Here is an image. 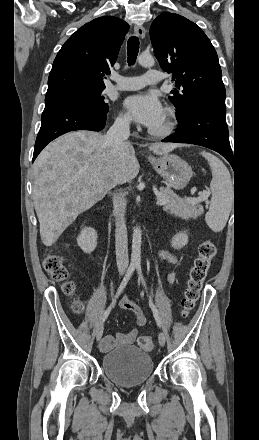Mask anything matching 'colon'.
<instances>
[{"label": "colon", "instance_id": "obj_1", "mask_svg": "<svg viewBox=\"0 0 259 440\" xmlns=\"http://www.w3.org/2000/svg\"><path fill=\"white\" fill-rule=\"evenodd\" d=\"M215 254L216 246L211 239H207L200 244L198 256L190 270L187 288L181 302V314L183 317H187L193 310ZM43 267L52 279L57 282H62V290L66 295H72L74 293L75 285L72 281L68 280L69 270L60 254H46L43 259ZM74 308L76 312H80L82 305L76 303ZM138 344L142 349L147 351H151L155 348V341L149 336L139 337Z\"/></svg>", "mask_w": 259, "mask_h": 440}]
</instances>
